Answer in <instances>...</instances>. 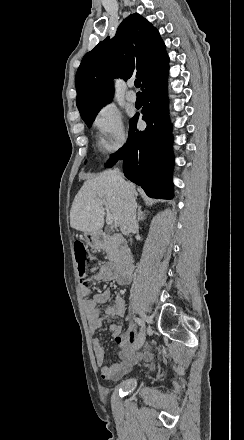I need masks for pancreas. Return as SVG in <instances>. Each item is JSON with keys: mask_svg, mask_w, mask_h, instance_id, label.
I'll list each match as a JSON object with an SVG mask.
<instances>
[{"mask_svg": "<svg viewBox=\"0 0 244 440\" xmlns=\"http://www.w3.org/2000/svg\"><path fill=\"white\" fill-rule=\"evenodd\" d=\"M120 244L121 242H119V240H116V236H108L104 244L108 260H110V262H114V264H116V262H119L120 260Z\"/></svg>", "mask_w": 244, "mask_h": 440, "instance_id": "1", "label": "pancreas"}]
</instances>
